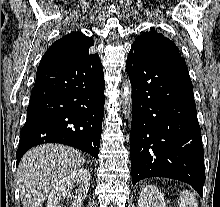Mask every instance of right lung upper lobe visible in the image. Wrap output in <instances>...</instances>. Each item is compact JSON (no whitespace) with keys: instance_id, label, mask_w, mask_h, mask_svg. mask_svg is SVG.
Instances as JSON below:
<instances>
[{"instance_id":"right-lung-upper-lobe-1","label":"right lung upper lobe","mask_w":220,"mask_h":207,"mask_svg":"<svg viewBox=\"0 0 220 207\" xmlns=\"http://www.w3.org/2000/svg\"><path fill=\"white\" fill-rule=\"evenodd\" d=\"M93 45L94 41L91 37L81 32H71L51 45L40 64L67 62L86 57L90 55L89 48Z\"/></svg>"}]
</instances>
